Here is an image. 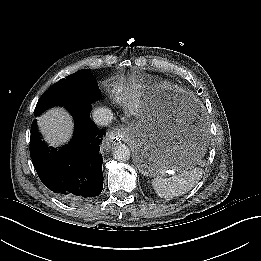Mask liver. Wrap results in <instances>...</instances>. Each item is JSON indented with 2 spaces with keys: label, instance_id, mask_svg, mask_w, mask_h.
<instances>
[{
  "label": "liver",
  "instance_id": "6515ba94",
  "mask_svg": "<svg viewBox=\"0 0 261 261\" xmlns=\"http://www.w3.org/2000/svg\"><path fill=\"white\" fill-rule=\"evenodd\" d=\"M137 86L127 89L126 95L120 97L128 116H136L141 112V93ZM38 124L45 140L51 146H58L67 142L73 131V122L70 115L63 108H53L37 118Z\"/></svg>",
  "mask_w": 261,
  "mask_h": 261
}]
</instances>
